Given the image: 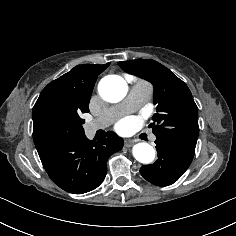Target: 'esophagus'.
<instances>
[{
    "label": "esophagus",
    "instance_id": "1",
    "mask_svg": "<svg viewBox=\"0 0 236 236\" xmlns=\"http://www.w3.org/2000/svg\"><path fill=\"white\" fill-rule=\"evenodd\" d=\"M126 146H127V147H131L132 144H131L130 142H127V143H126Z\"/></svg>",
    "mask_w": 236,
    "mask_h": 236
}]
</instances>
